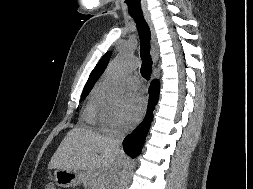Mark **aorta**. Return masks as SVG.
<instances>
[{"label":"aorta","instance_id":"aorta-1","mask_svg":"<svg viewBox=\"0 0 253 189\" xmlns=\"http://www.w3.org/2000/svg\"><path fill=\"white\" fill-rule=\"evenodd\" d=\"M135 64L131 56L122 53L111 66L102 88L106 98L111 103H117L123 96V78L134 68Z\"/></svg>","mask_w":253,"mask_h":189}]
</instances>
